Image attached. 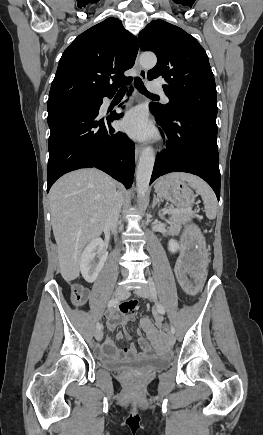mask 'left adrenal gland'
<instances>
[{"label": "left adrenal gland", "instance_id": "left-adrenal-gland-1", "mask_svg": "<svg viewBox=\"0 0 263 435\" xmlns=\"http://www.w3.org/2000/svg\"><path fill=\"white\" fill-rule=\"evenodd\" d=\"M159 202H160V198L154 194L152 207L154 208L157 204L159 206ZM161 212H162V210H159V212H158L159 217H162Z\"/></svg>", "mask_w": 263, "mask_h": 435}]
</instances>
